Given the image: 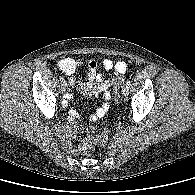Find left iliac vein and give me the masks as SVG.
<instances>
[{"mask_svg":"<svg viewBox=\"0 0 195 195\" xmlns=\"http://www.w3.org/2000/svg\"><path fill=\"white\" fill-rule=\"evenodd\" d=\"M128 92H129L128 85L127 84H123L122 85V94H123V96H127Z\"/></svg>","mask_w":195,"mask_h":195,"instance_id":"4c4485c4","label":"left iliac vein"}]
</instances>
